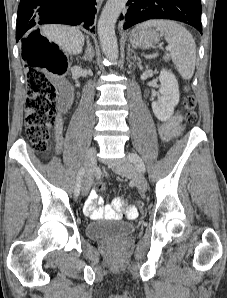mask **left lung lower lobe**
I'll list each match as a JSON object with an SVG mask.
<instances>
[{
    "instance_id": "obj_1",
    "label": "left lung lower lobe",
    "mask_w": 227,
    "mask_h": 298,
    "mask_svg": "<svg viewBox=\"0 0 227 298\" xmlns=\"http://www.w3.org/2000/svg\"><path fill=\"white\" fill-rule=\"evenodd\" d=\"M128 9L120 19L124 29L149 19H171L184 22L202 34L200 0H128Z\"/></svg>"
}]
</instances>
